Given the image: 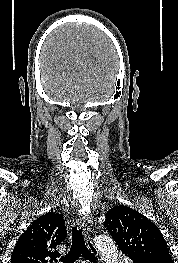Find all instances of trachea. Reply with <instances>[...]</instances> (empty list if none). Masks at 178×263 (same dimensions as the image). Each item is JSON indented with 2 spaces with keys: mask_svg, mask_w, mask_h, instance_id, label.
<instances>
[{
  "mask_svg": "<svg viewBox=\"0 0 178 263\" xmlns=\"http://www.w3.org/2000/svg\"><path fill=\"white\" fill-rule=\"evenodd\" d=\"M81 255L90 262L98 263V259L85 245L81 229L78 226H74L72 230V245L70 251L60 258V261L63 263H75Z\"/></svg>",
  "mask_w": 178,
  "mask_h": 263,
  "instance_id": "1",
  "label": "trachea"
}]
</instances>
